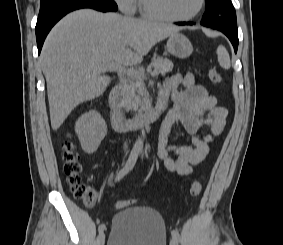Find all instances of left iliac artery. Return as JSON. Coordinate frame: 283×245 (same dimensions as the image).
Here are the masks:
<instances>
[{
    "instance_id": "44dca946",
    "label": "left iliac artery",
    "mask_w": 283,
    "mask_h": 245,
    "mask_svg": "<svg viewBox=\"0 0 283 245\" xmlns=\"http://www.w3.org/2000/svg\"><path fill=\"white\" fill-rule=\"evenodd\" d=\"M171 235L175 240L180 241V235L177 230H172Z\"/></svg>"
}]
</instances>
